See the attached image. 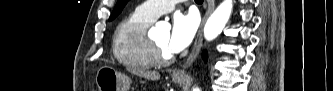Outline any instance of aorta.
Masks as SVG:
<instances>
[{"label":"aorta","mask_w":333,"mask_h":91,"mask_svg":"<svg viewBox=\"0 0 333 91\" xmlns=\"http://www.w3.org/2000/svg\"><path fill=\"white\" fill-rule=\"evenodd\" d=\"M232 8V0H224L211 14L204 27V37L207 41L215 39L222 32L230 18Z\"/></svg>","instance_id":"obj_1"}]
</instances>
